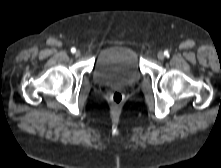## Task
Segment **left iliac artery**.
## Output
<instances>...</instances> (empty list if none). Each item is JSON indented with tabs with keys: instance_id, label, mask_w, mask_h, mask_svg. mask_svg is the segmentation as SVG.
Returning a JSON list of instances; mask_svg holds the SVG:
<instances>
[{
	"instance_id": "44dca946",
	"label": "left iliac artery",
	"mask_w": 221,
	"mask_h": 168,
	"mask_svg": "<svg viewBox=\"0 0 221 168\" xmlns=\"http://www.w3.org/2000/svg\"><path fill=\"white\" fill-rule=\"evenodd\" d=\"M164 54H165V56H167V57L169 56V52H168V51H165Z\"/></svg>"
}]
</instances>
